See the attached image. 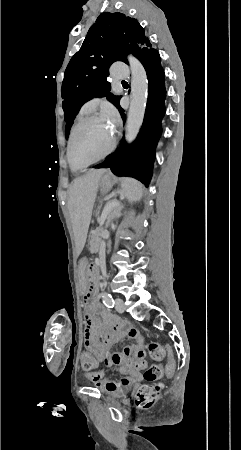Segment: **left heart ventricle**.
<instances>
[{
    "label": "left heart ventricle",
    "instance_id": "left-heart-ventricle-1",
    "mask_svg": "<svg viewBox=\"0 0 241 450\" xmlns=\"http://www.w3.org/2000/svg\"><path fill=\"white\" fill-rule=\"evenodd\" d=\"M78 122L73 151L76 165H92L94 160H101L102 153L109 151L108 141L113 137L112 128L103 114L90 112L82 115Z\"/></svg>",
    "mask_w": 241,
    "mask_h": 450
}]
</instances>
